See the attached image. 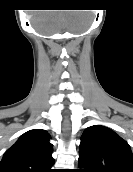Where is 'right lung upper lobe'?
I'll list each match as a JSON object with an SVG mask.
<instances>
[{
    "label": "right lung upper lobe",
    "instance_id": "obj_1",
    "mask_svg": "<svg viewBox=\"0 0 133 172\" xmlns=\"http://www.w3.org/2000/svg\"><path fill=\"white\" fill-rule=\"evenodd\" d=\"M42 129L24 133L4 154L0 172H53L52 144Z\"/></svg>",
    "mask_w": 133,
    "mask_h": 172
}]
</instances>
